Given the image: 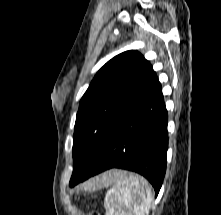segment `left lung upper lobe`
Here are the masks:
<instances>
[{
	"mask_svg": "<svg viewBox=\"0 0 221 215\" xmlns=\"http://www.w3.org/2000/svg\"><path fill=\"white\" fill-rule=\"evenodd\" d=\"M153 69L138 51L123 52L108 61L83 95L73 136V174L82 179L103 149L112 125L141 91Z\"/></svg>",
	"mask_w": 221,
	"mask_h": 215,
	"instance_id": "left-lung-upper-lobe-1",
	"label": "left lung upper lobe"
}]
</instances>
